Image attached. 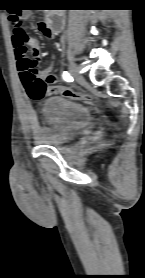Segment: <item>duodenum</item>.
Wrapping results in <instances>:
<instances>
[{"label": "duodenum", "mask_w": 145, "mask_h": 278, "mask_svg": "<svg viewBox=\"0 0 145 278\" xmlns=\"http://www.w3.org/2000/svg\"><path fill=\"white\" fill-rule=\"evenodd\" d=\"M44 23L47 28H49L52 32L56 34L61 31L64 24V20L61 16L49 14L45 17Z\"/></svg>", "instance_id": "obj_1"}]
</instances>
